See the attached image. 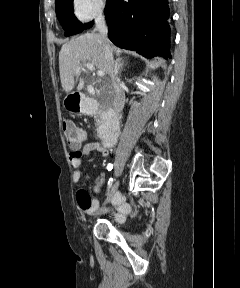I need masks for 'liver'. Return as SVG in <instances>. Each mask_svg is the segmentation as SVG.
Returning a JSON list of instances; mask_svg holds the SVG:
<instances>
[{
	"label": "liver",
	"mask_w": 240,
	"mask_h": 288,
	"mask_svg": "<svg viewBox=\"0 0 240 288\" xmlns=\"http://www.w3.org/2000/svg\"><path fill=\"white\" fill-rule=\"evenodd\" d=\"M109 43V42H108ZM111 52L120 55L121 50L110 45ZM120 61V59H118ZM91 63L99 71L108 74L103 42L96 33H85L62 46L59 53L60 79L67 95L75 86V70L81 63ZM109 75V74H108ZM84 88V79H80L77 91Z\"/></svg>",
	"instance_id": "obj_1"
}]
</instances>
